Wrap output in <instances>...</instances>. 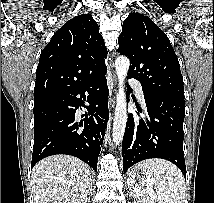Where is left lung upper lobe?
I'll return each mask as SVG.
<instances>
[{"label":"left lung upper lobe","instance_id":"1","mask_svg":"<svg viewBox=\"0 0 214 203\" xmlns=\"http://www.w3.org/2000/svg\"><path fill=\"white\" fill-rule=\"evenodd\" d=\"M118 52L130 59L129 78L143 92L184 99L178 58L167 35L147 16L131 12L123 22Z\"/></svg>","mask_w":214,"mask_h":203}]
</instances>
